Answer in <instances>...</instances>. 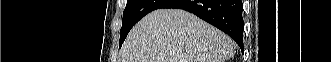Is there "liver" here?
<instances>
[{
    "label": "liver",
    "instance_id": "6515ba94",
    "mask_svg": "<svg viewBox=\"0 0 331 62\" xmlns=\"http://www.w3.org/2000/svg\"><path fill=\"white\" fill-rule=\"evenodd\" d=\"M235 49L229 36L195 15L159 9L132 28L122 62H225Z\"/></svg>",
    "mask_w": 331,
    "mask_h": 62
}]
</instances>
